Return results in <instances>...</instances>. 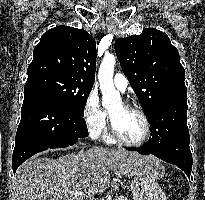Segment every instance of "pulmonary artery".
Wrapping results in <instances>:
<instances>
[{"mask_svg":"<svg viewBox=\"0 0 205 200\" xmlns=\"http://www.w3.org/2000/svg\"><path fill=\"white\" fill-rule=\"evenodd\" d=\"M114 86L121 92H125L128 87V80L123 74H116L113 78Z\"/></svg>","mask_w":205,"mask_h":200,"instance_id":"obj_1","label":"pulmonary artery"}]
</instances>
